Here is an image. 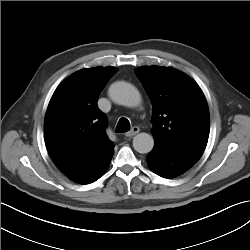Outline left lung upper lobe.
Segmentation results:
<instances>
[{
    "mask_svg": "<svg viewBox=\"0 0 250 250\" xmlns=\"http://www.w3.org/2000/svg\"><path fill=\"white\" fill-rule=\"evenodd\" d=\"M152 105L156 145L203 153L210 130L208 105L200 87L184 73L161 66L135 70Z\"/></svg>",
    "mask_w": 250,
    "mask_h": 250,
    "instance_id": "obj_1",
    "label": "left lung upper lobe"
}]
</instances>
